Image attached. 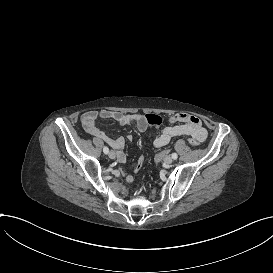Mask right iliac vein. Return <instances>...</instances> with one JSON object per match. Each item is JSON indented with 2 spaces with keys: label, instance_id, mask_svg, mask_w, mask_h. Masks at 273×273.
<instances>
[{
  "label": "right iliac vein",
  "instance_id": "right-iliac-vein-1",
  "mask_svg": "<svg viewBox=\"0 0 273 273\" xmlns=\"http://www.w3.org/2000/svg\"><path fill=\"white\" fill-rule=\"evenodd\" d=\"M108 156H109L110 159H114V158L116 157V154H115L114 151H110V152L108 153Z\"/></svg>",
  "mask_w": 273,
  "mask_h": 273
}]
</instances>
